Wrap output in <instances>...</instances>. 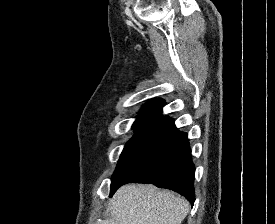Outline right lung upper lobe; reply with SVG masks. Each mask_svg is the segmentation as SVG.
Wrapping results in <instances>:
<instances>
[{
  "label": "right lung upper lobe",
  "instance_id": "obj_1",
  "mask_svg": "<svg viewBox=\"0 0 275 224\" xmlns=\"http://www.w3.org/2000/svg\"><path fill=\"white\" fill-rule=\"evenodd\" d=\"M165 105V102L160 99H156L155 101L146 104L140 111V113H161L162 107Z\"/></svg>",
  "mask_w": 275,
  "mask_h": 224
}]
</instances>
